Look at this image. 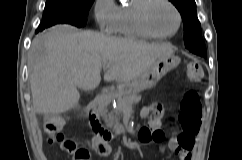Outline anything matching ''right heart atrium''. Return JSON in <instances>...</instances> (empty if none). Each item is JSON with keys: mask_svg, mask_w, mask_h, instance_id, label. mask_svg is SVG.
Segmentation results:
<instances>
[{"mask_svg": "<svg viewBox=\"0 0 242 160\" xmlns=\"http://www.w3.org/2000/svg\"><path fill=\"white\" fill-rule=\"evenodd\" d=\"M118 7L113 0H95L94 18L102 31L114 32Z\"/></svg>", "mask_w": 242, "mask_h": 160, "instance_id": "obj_1", "label": "right heart atrium"}]
</instances>
